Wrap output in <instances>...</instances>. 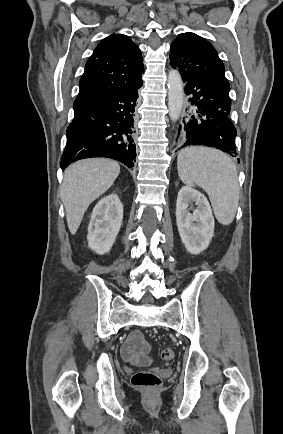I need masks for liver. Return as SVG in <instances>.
Returning a JSON list of instances; mask_svg holds the SVG:
<instances>
[{"label": "liver", "mask_w": 283, "mask_h": 434, "mask_svg": "<svg viewBox=\"0 0 283 434\" xmlns=\"http://www.w3.org/2000/svg\"><path fill=\"white\" fill-rule=\"evenodd\" d=\"M120 173V165L104 158L80 160L64 171L60 190L69 231L74 235L89 205L104 194Z\"/></svg>", "instance_id": "liver-1"}]
</instances>
